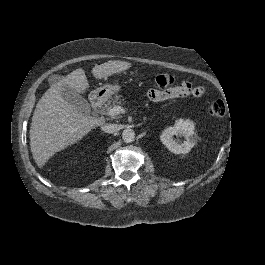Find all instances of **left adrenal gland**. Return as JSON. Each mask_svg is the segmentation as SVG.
I'll return each mask as SVG.
<instances>
[{
    "instance_id": "1",
    "label": "left adrenal gland",
    "mask_w": 265,
    "mask_h": 265,
    "mask_svg": "<svg viewBox=\"0 0 265 265\" xmlns=\"http://www.w3.org/2000/svg\"><path fill=\"white\" fill-rule=\"evenodd\" d=\"M146 120H147V117H144V119H143V121H142V122H143V123H145V122H146Z\"/></svg>"
}]
</instances>
